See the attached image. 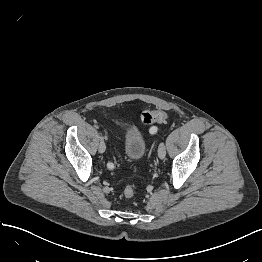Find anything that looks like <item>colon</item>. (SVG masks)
Returning <instances> with one entry per match:
<instances>
[{
  "label": "colon",
  "mask_w": 262,
  "mask_h": 262,
  "mask_svg": "<svg viewBox=\"0 0 262 262\" xmlns=\"http://www.w3.org/2000/svg\"><path fill=\"white\" fill-rule=\"evenodd\" d=\"M167 115L163 110H145L141 113V120L144 124H152L162 122L166 119ZM155 132V131H152ZM135 189L132 185H128L124 189V196L128 199L133 198Z\"/></svg>",
  "instance_id": "colon-1"
}]
</instances>
